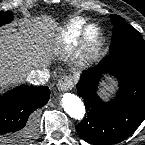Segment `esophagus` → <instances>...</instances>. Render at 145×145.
Instances as JSON below:
<instances>
[{
    "instance_id": "1",
    "label": "esophagus",
    "mask_w": 145,
    "mask_h": 145,
    "mask_svg": "<svg viewBox=\"0 0 145 145\" xmlns=\"http://www.w3.org/2000/svg\"><path fill=\"white\" fill-rule=\"evenodd\" d=\"M74 86L73 78L71 76L62 77L57 84V87L61 91H67L72 89Z\"/></svg>"
}]
</instances>
